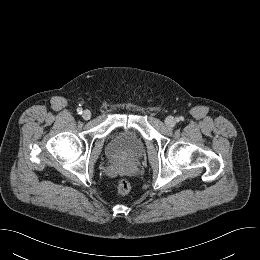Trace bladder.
Returning a JSON list of instances; mask_svg holds the SVG:
<instances>
[{
  "instance_id": "31cf9c89",
  "label": "bladder",
  "mask_w": 260,
  "mask_h": 260,
  "mask_svg": "<svg viewBox=\"0 0 260 260\" xmlns=\"http://www.w3.org/2000/svg\"><path fill=\"white\" fill-rule=\"evenodd\" d=\"M144 141L141 135L128 130L116 135L107 145V152L111 158H135L142 154Z\"/></svg>"
}]
</instances>
